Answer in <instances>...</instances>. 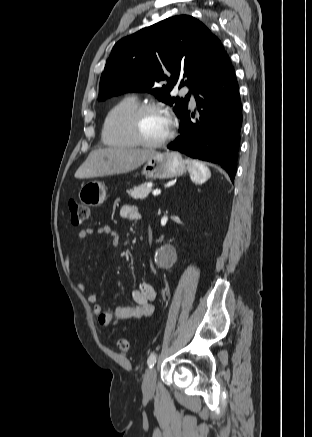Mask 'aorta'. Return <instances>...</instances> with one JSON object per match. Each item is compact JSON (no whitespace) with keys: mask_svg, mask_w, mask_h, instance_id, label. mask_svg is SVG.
<instances>
[{"mask_svg":"<svg viewBox=\"0 0 312 437\" xmlns=\"http://www.w3.org/2000/svg\"><path fill=\"white\" fill-rule=\"evenodd\" d=\"M171 254H172V253H171L170 250H167V249H165V250H161V251H159V253L157 254V260H158L159 262H162V261L165 260L166 258L170 257Z\"/></svg>","mask_w":312,"mask_h":437,"instance_id":"762f6f07","label":"aorta"}]
</instances>
